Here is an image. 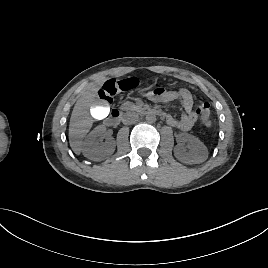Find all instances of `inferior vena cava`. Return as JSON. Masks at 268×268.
<instances>
[{
    "instance_id": "inferior-vena-cava-1",
    "label": "inferior vena cava",
    "mask_w": 268,
    "mask_h": 268,
    "mask_svg": "<svg viewBox=\"0 0 268 268\" xmlns=\"http://www.w3.org/2000/svg\"><path fill=\"white\" fill-rule=\"evenodd\" d=\"M138 114L135 112H128L124 115L122 122L126 125L133 124L138 121Z\"/></svg>"
}]
</instances>
